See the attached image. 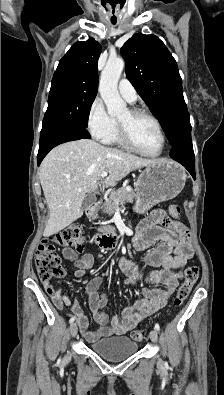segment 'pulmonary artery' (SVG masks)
<instances>
[{
  "instance_id": "obj_1",
  "label": "pulmonary artery",
  "mask_w": 224,
  "mask_h": 395,
  "mask_svg": "<svg viewBox=\"0 0 224 395\" xmlns=\"http://www.w3.org/2000/svg\"><path fill=\"white\" fill-rule=\"evenodd\" d=\"M118 91L120 95L129 103H135L137 100V92L133 85L125 78L118 83Z\"/></svg>"
}]
</instances>
